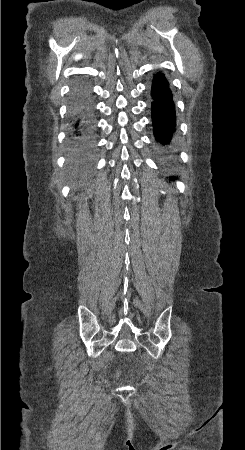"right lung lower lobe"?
I'll list each match as a JSON object with an SVG mask.
<instances>
[{
  "instance_id": "98d812e1",
  "label": "right lung lower lobe",
  "mask_w": 245,
  "mask_h": 450,
  "mask_svg": "<svg viewBox=\"0 0 245 450\" xmlns=\"http://www.w3.org/2000/svg\"><path fill=\"white\" fill-rule=\"evenodd\" d=\"M71 112L73 124L69 160L74 171L84 173L90 170L94 161L92 105L84 90L75 92Z\"/></svg>"
}]
</instances>
